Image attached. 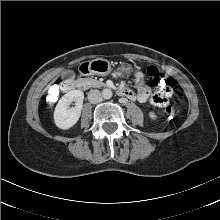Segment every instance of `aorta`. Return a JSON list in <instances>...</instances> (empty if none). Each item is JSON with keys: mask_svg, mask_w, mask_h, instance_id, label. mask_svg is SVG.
<instances>
[{"mask_svg": "<svg viewBox=\"0 0 220 220\" xmlns=\"http://www.w3.org/2000/svg\"><path fill=\"white\" fill-rule=\"evenodd\" d=\"M102 96L104 99H110L112 97V91L106 88L102 91Z\"/></svg>", "mask_w": 220, "mask_h": 220, "instance_id": "1", "label": "aorta"}]
</instances>
